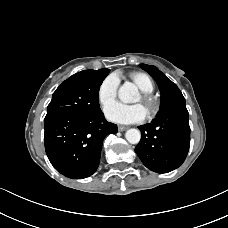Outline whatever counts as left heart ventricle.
<instances>
[{
  "label": "left heart ventricle",
  "instance_id": "left-heart-ventricle-1",
  "mask_svg": "<svg viewBox=\"0 0 228 228\" xmlns=\"http://www.w3.org/2000/svg\"><path fill=\"white\" fill-rule=\"evenodd\" d=\"M138 101H141V97L138 99Z\"/></svg>",
  "mask_w": 228,
  "mask_h": 228
}]
</instances>
